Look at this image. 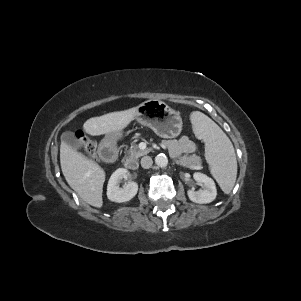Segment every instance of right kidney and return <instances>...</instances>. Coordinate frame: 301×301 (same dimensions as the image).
Masks as SVG:
<instances>
[{"label": "right kidney", "mask_w": 301, "mask_h": 301, "mask_svg": "<svg viewBox=\"0 0 301 301\" xmlns=\"http://www.w3.org/2000/svg\"><path fill=\"white\" fill-rule=\"evenodd\" d=\"M129 172L125 168H118L111 175L107 186V197L110 201L123 203L128 202L135 197L138 191V184L133 181H129L123 188L119 187L121 179H127Z\"/></svg>", "instance_id": "ca27d5eb"}]
</instances>
